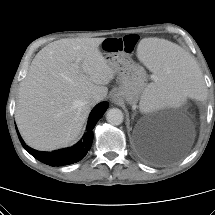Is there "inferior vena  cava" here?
Returning a JSON list of instances; mask_svg holds the SVG:
<instances>
[{
    "label": "inferior vena cava",
    "mask_w": 215,
    "mask_h": 215,
    "mask_svg": "<svg viewBox=\"0 0 215 215\" xmlns=\"http://www.w3.org/2000/svg\"><path fill=\"white\" fill-rule=\"evenodd\" d=\"M103 99H104V97L102 95L96 94L91 97L90 103H91V105H95L96 103L100 102Z\"/></svg>",
    "instance_id": "inferior-vena-cava-1"
}]
</instances>
